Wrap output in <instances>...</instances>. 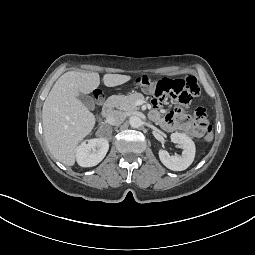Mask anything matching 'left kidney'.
Masks as SVG:
<instances>
[{"label":"left kidney","instance_id":"left-kidney-1","mask_svg":"<svg viewBox=\"0 0 255 255\" xmlns=\"http://www.w3.org/2000/svg\"><path fill=\"white\" fill-rule=\"evenodd\" d=\"M171 141L182 146L181 156H170L166 150H159V158L163 165L173 171H182L187 169L195 157V144L190 137L183 133H172Z\"/></svg>","mask_w":255,"mask_h":255}]
</instances>
